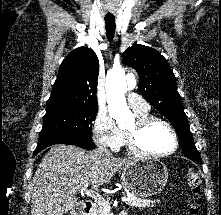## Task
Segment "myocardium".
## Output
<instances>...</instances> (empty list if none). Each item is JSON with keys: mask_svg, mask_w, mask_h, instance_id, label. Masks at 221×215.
Segmentation results:
<instances>
[{"mask_svg": "<svg viewBox=\"0 0 221 215\" xmlns=\"http://www.w3.org/2000/svg\"><path fill=\"white\" fill-rule=\"evenodd\" d=\"M161 123L165 125L170 131L174 145L173 148L165 153H153L145 150L140 143L141 134L153 123ZM127 144L129 149L140 156L149 157V158H164L174 154L179 146V138L174 127L167 120L157 117V116H146V117H138L135 121V126L131 130H127L126 132Z\"/></svg>", "mask_w": 221, "mask_h": 215, "instance_id": "myocardium-1", "label": "myocardium"}]
</instances>
